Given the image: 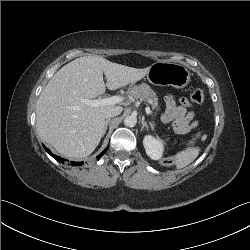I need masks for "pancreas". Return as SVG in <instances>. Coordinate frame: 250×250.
<instances>
[{"label": "pancreas", "mask_w": 250, "mask_h": 250, "mask_svg": "<svg viewBox=\"0 0 250 250\" xmlns=\"http://www.w3.org/2000/svg\"><path fill=\"white\" fill-rule=\"evenodd\" d=\"M127 95L130 98L141 99L150 102L152 108L158 107V97L156 93L150 88L149 85L142 83L140 85L132 86L127 90ZM151 127H154V122L150 123Z\"/></svg>", "instance_id": "1"}]
</instances>
